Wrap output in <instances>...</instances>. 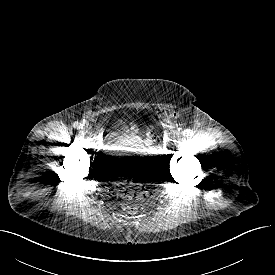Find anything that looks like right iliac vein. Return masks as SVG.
<instances>
[{
    "mask_svg": "<svg viewBox=\"0 0 275 275\" xmlns=\"http://www.w3.org/2000/svg\"><path fill=\"white\" fill-rule=\"evenodd\" d=\"M82 129H83L84 131H86V132H89V131L91 130V127L88 126V125H84V126L82 127Z\"/></svg>",
    "mask_w": 275,
    "mask_h": 275,
    "instance_id": "63e3f726",
    "label": "right iliac vein"
}]
</instances>
